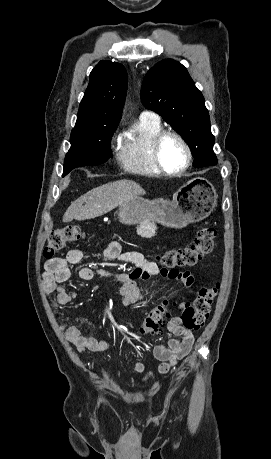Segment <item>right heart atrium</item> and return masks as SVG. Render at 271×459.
<instances>
[{
  "label": "right heart atrium",
  "mask_w": 271,
  "mask_h": 459,
  "mask_svg": "<svg viewBox=\"0 0 271 459\" xmlns=\"http://www.w3.org/2000/svg\"><path fill=\"white\" fill-rule=\"evenodd\" d=\"M121 140H122V135L119 129L115 128L110 134L109 141L112 146H117L121 143Z\"/></svg>",
  "instance_id": "d8ad5b80"
}]
</instances>
